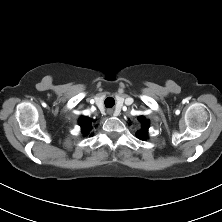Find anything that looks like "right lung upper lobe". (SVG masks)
Wrapping results in <instances>:
<instances>
[{
	"label": "right lung upper lobe",
	"mask_w": 222,
	"mask_h": 222,
	"mask_svg": "<svg viewBox=\"0 0 222 222\" xmlns=\"http://www.w3.org/2000/svg\"><path fill=\"white\" fill-rule=\"evenodd\" d=\"M91 123H92V120L90 118L81 117L79 119V124H80L81 130L84 134L89 133V131L91 129Z\"/></svg>",
	"instance_id": "1"
}]
</instances>
